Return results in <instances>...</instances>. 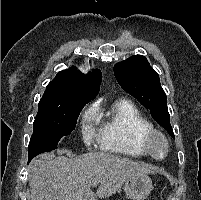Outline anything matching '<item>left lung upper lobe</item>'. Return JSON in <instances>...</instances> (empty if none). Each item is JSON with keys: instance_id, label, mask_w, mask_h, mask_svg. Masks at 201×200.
Returning <instances> with one entry per match:
<instances>
[{"instance_id": "obj_1", "label": "left lung upper lobe", "mask_w": 201, "mask_h": 200, "mask_svg": "<svg viewBox=\"0 0 201 200\" xmlns=\"http://www.w3.org/2000/svg\"><path fill=\"white\" fill-rule=\"evenodd\" d=\"M114 74L119 85L145 108L152 117L174 138L170 115L166 105L159 75L152 69L144 56L133 55L115 65Z\"/></svg>"}]
</instances>
